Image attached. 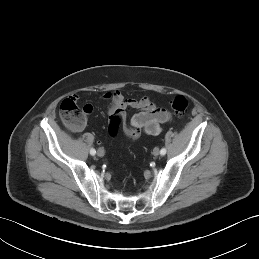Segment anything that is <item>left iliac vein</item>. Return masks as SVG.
<instances>
[{"mask_svg": "<svg viewBox=\"0 0 259 259\" xmlns=\"http://www.w3.org/2000/svg\"><path fill=\"white\" fill-rule=\"evenodd\" d=\"M160 154V150H159V148H154V150H153V155L154 156H158Z\"/></svg>", "mask_w": 259, "mask_h": 259, "instance_id": "obj_1", "label": "left iliac vein"}]
</instances>
